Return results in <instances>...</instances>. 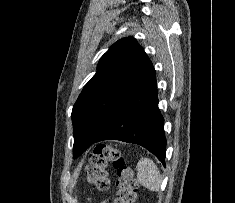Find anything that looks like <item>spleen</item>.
I'll use <instances>...</instances> for the list:
<instances>
[{
    "mask_svg": "<svg viewBox=\"0 0 235 203\" xmlns=\"http://www.w3.org/2000/svg\"><path fill=\"white\" fill-rule=\"evenodd\" d=\"M138 182L151 191H158L162 182L161 174L149 158H141L136 166Z\"/></svg>",
    "mask_w": 235,
    "mask_h": 203,
    "instance_id": "spleen-1",
    "label": "spleen"
}]
</instances>
